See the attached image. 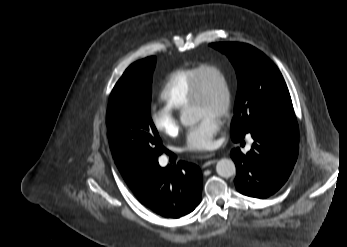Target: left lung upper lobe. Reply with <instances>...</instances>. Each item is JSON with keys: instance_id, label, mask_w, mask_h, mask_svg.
<instances>
[{"instance_id": "left-lung-upper-lobe-1", "label": "left lung upper lobe", "mask_w": 347, "mask_h": 247, "mask_svg": "<svg viewBox=\"0 0 347 247\" xmlns=\"http://www.w3.org/2000/svg\"><path fill=\"white\" fill-rule=\"evenodd\" d=\"M210 45L228 56L237 74L238 91L231 136H244L271 121H296L286 83L266 55L244 43Z\"/></svg>"}]
</instances>
